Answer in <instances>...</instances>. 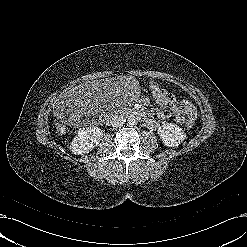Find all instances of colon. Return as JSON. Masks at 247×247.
Instances as JSON below:
<instances>
[{"instance_id":"1","label":"colon","mask_w":247,"mask_h":247,"mask_svg":"<svg viewBox=\"0 0 247 247\" xmlns=\"http://www.w3.org/2000/svg\"><path fill=\"white\" fill-rule=\"evenodd\" d=\"M149 98L154 103H159L162 100H170L172 98V93L170 91H162L159 88L150 89ZM74 116V115H73ZM195 117H190L186 122V127L188 129L193 128L195 125ZM68 119H60L55 123V129L58 133H64L67 130Z\"/></svg>"}]
</instances>
